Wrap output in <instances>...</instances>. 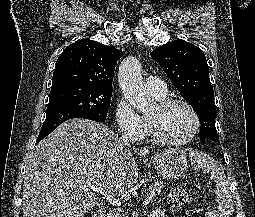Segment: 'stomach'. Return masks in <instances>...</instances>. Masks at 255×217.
Returning a JSON list of instances; mask_svg holds the SVG:
<instances>
[{
	"label": "stomach",
	"mask_w": 255,
	"mask_h": 217,
	"mask_svg": "<svg viewBox=\"0 0 255 217\" xmlns=\"http://www.w3.org/2000/svg\"><path fill=\"white\" fill-rule=\"evenodd\" d=\"M151 164L163 179H179L187 170L186 152L182 148H170L151 159Z\"/></svg>",
	"instance_id": "stomach-1"
}]
</instances>
